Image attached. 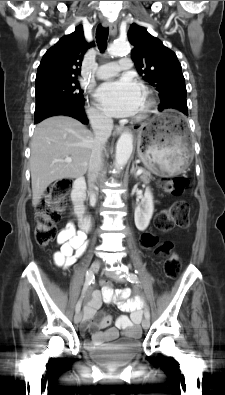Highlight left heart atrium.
Returning <instances> with one entry per match:
<instances>
[{
  "label": "left heart atrium",
  "instance_id": "39dd6f15",
  "mask_svg": "<svg viewBox=\"0 0 225 395\" xmlns=\"http://www.w3.org/2000/svg\"><path fill=\"white\" fill-rule=\"evenodd\" d=\"M142 96L140 84L128 76L106 82L96 91V98L103 110L114 117L135 115Z\"/></svg>",
  "mask_w": 225,
  "mask_h": 395
}]
</instances>
